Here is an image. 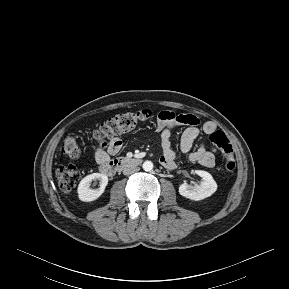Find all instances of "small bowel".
<instances>
[{
	"label": "small bowel",
	"instance_id": "1",
	"mask_svg": "<svg viewBox=\"0 0 289 289\" xmlns=\"http://www.w3.org/2000/svg\"><path fill=\"white\" fill-rule=\"evenodd\" d=\"M179 126H185L180 137L179 148L184 154H187L190 162L196 163L206 168H212L215 165V155L208 151L204 143H200L195 151L192 146L200 132L212 134L217 131V126L213 121L200 123V120L191 114H176L172 111H161L158 114L155 131L160 134L162 155L160 157L161 165L173 170L177 167V154L172 148V131ZM122 148V141L119 137L111 139L106 148L99 147L95 151V160L100 165L110 159V156L116 155Z\"/></svg>",
	"mask_w": 289,
	"mask_h": 289
}]
</instances>
